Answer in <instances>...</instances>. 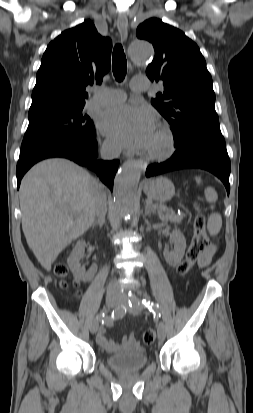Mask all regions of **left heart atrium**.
<instances>
[{"mask_svg":"<svg viewBox=\"0 0 253 413\" xmlns=\"http://www.w3.org/2000/svg\"><path fill=\"white\" fill-rule=\"evenodd\" d=\"M99 127L103 133L128 147H149L155 133L152 113L144 107L129 105L103 113Z\"/></svg>","mask_w":253,"mask_h":413,"instance_id":"left-heart-atrium-1","label":"left heart atrium"}]
</instances>
